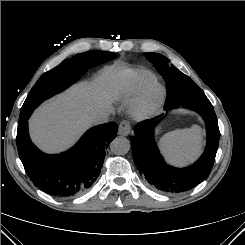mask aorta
Returning a JSON list of instances; mask_svg holds the SVG:
<instances>
[{"label":"aorta","instance_id":"762f6f07","mask_svg":"<svg viewBox=\"0 0 245 245\" xmlns=\"http://www.w3.org/2000/svg\"><path fill=\"white\" fill-rule=\"evenodd\" d=\"M110 149L116 155H125L130 150V142L125 137H116L111 142Z\"/></svg>","mask_w":245,"mask_h":245}]
</instances>
